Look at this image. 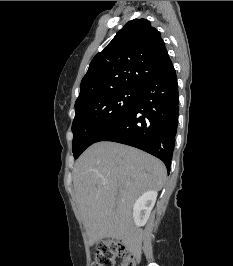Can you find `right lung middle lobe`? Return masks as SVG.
<instances>
[{"label": "right lung middle lobe", "mask_w": 233, "mask_h": 266, "mask_svg": "<svg viewBox=\"0 0 233 266\" xmlns=\"http://www.w3.org/2000/svg\"><path fill=\"white\" fill-rule=\"evenodd\" d=\"M138 94L139 89H116L75 103L72 124L75 159L130 109Z\"/></svg>", "instance_id": "obj_1"}]
</instances>
